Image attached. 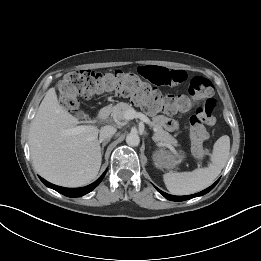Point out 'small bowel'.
<instances>
[{
	"instance_id": "small-bowel-1",
	"label": "small bowel",
	"mask_w": 261,
	"mask_h": 261,
	"mask_svg": "<svg viewBox=\"0 0 261 261\" xmlns=\"http://www.w3.org/2000/svg\"><path fill=\"white\" fill-rule=\"evenodd\" d=\"M140 74L155 85H177L184 82L187 74L183 70H170L160 66H142L139 68ZM155 122L168 131H174L177 123L173 119L158 115Z\"/></svg>"
}]
</instances>
